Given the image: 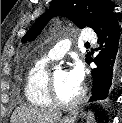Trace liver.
<instances>
[{
	"mask_svg": "<svg viewBox=\"0 0 122 123\" xmlns=\"http://www.w3.org/2000/svg\"><path fill=\"white\" fill-rule=\"evenodd\" d=\"M62 113L52 108L20 106L11 116V123H57Z\"/></svg>",
	"mask_w": 122,
	"mask_h": 123,
	"instance_id": "1",
	"label": "liver"
}]
</instances>
